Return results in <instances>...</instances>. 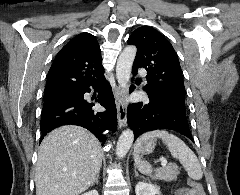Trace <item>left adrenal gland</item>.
<instances>
[{
    "instance_id": "obj_1",
    "label": "left adrenal gland",
    "mask_w": 240,
    "mask_h": 195,
    "mask_svg": "<svg viewBox=\"0 0 240 195\" xmlns=\"http://www.w3.org/2000/svg\"><path fill=\"white\" fill-rule=\"evenodd\" d=\"M134 171H135V175H139L138 171H136V165H135ZM140 177H143V175H140Z\"/></svg>"
}]
</instances>
